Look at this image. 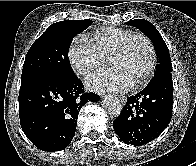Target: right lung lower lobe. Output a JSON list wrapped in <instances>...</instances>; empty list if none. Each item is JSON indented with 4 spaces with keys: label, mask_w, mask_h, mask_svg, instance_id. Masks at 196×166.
<instances>
[{
    "label": "right lung lower lobe",
    "mask_w": 196,
    "mask_h": 166,
    "mask_svg": "<svg viewBox=\"0 0 196 166\" xmlns=\"http://www.w3.org/2000/svg\"><path fill=\"white\" fill-rule=\"evenodd\" d=\"M99 99L94 93H84L77 76L71 79L49 74L24 77L19 91L22 130L40 150H63L75 135L82 106Z\"/></svg>",
    "instance_id": "obj_1"
}]
</instances>
